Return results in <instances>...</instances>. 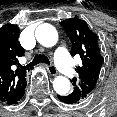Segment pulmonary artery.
<instances>
[{
  "label": "pulmonary artery",
  "mask_w": 117,
  "mask_h": 117,
  "mask_svg": "<svg viewBox=\"0 0 117 117\" xmlns=\"http://www.w3.org/2000/svg\"><path fill=\"white\" fill-rule=\"evenodd\" d=\"M55 58H56V63L59 69L61 70V72L67 77L72 76L74 73V70L70 64L68 52L65 46L59 45L57 47Z\"/></svg>",
  "instance_id": "obj_1"
}]
</instances>
